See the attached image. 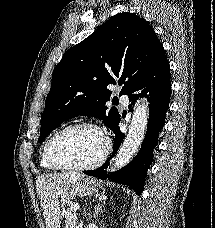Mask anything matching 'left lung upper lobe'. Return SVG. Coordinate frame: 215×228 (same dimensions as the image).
I'll return each mask as SVG.
<instances>
[{
    "mask_svg": "<svg viewBox=\"0 0 215 228\" xmlns=\"http://www.w3.org/2000/svg\"><path fill=\"white\" fill-rule=\"evenodd\" d=\"M163 48L152 27L134 13H119L63 55L52 73V86L41 115L38 142L61 123L78 116H92L112 131L120 122L110 101L109 84L124 85L129 94L145 76ZM118 79V81H117Z\"/></svg>",
    "mask_w": 215,
    "mask_h": 228,
    "instance_id": "left-lung-upper-lobe-1",
    "label": "left lung upper lobe"
}]
</instances>
